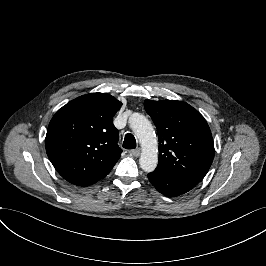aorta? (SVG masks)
<instances>
[{"mask_svg": "<svg viewBox=\"0 0 266 266\" xmlns=\"http://www.w3.org/2000/svg\"><path fill=\"white\" fill-rule=\"evenodd\" d=\"M129 124L142 146L139 165L144 172H153L158 164V144L152 124L139 113L129 117Z\"/></svg>", "mask_w": 266, "mask_h": 266, "instance_id": "aorta-1", "label": "aorta"}]
</instances>
